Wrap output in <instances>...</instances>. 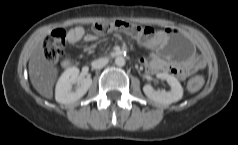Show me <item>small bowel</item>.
<instances>
[{
  "mask_svg": "<svg viewBox=\"0 0 238 145\" xmlns=\"http://www.w3.org/2000/svg\"><path fill=\"white\" fill-rule=\"evenodd\" d=\"M168 32H172L171 29ZM83 36V30L79 27L72 29L69 32V40L72 43L77 42ZM95 37L92 35L87 36V40H94ZM160 44L161 47L167 46L166 39L163 35H159L153 39L152 46ZM141 63H143L147 70L151 73H159V72H168L178 75L181 78H185L187 75L193 74L204 68L205 62L203 58L192 55L187 60L179 62L177 64H172L169 61L162 59L157 53H152L150 55V59L148 61L142 59Z\"/></svg>",
  "mask_w": 238,
  "mask_h": 145,
  "instance_id": "1",
  "label": "small bowel"
}]
</instances>
